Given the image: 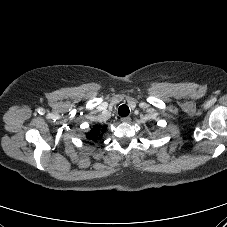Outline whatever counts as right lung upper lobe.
<instances>
[{"mask_svg": "<svg viewBox=\"0 0 227 227\" xmlns=\"http://www.w3.org/2000/svg\"><path fill=\"white\" fill-rule=\"evenodd\" d=\"M106 131V126H98L96 125L95 127H93L91 129V131L87 134V139H89L90 141H97L100 140V138L102 137V134Z\"/></svg>", "mask_w": 227, "mask_h": 227, "instance_id": "obj_1", "label": "right lung upper lobe"}]
</instances>
